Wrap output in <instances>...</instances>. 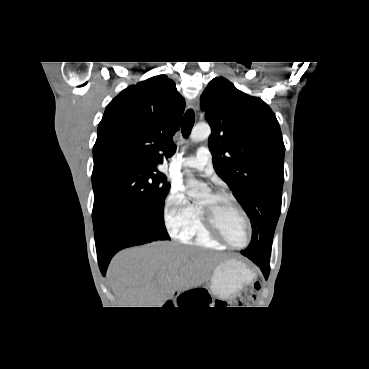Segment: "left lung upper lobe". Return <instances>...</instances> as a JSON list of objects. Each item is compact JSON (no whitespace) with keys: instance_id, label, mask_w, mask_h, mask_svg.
<instances>
[{"instance_id":"obj_1","label":"left lung upper lobe","mask_w":369,"mask_h":369,"mask_svg":"<svg viewBox=\"0 0 369 369\" xmlns=\"http://www.w3.org/2000/svg\"><path fill=\"white\" fill-rule=\"evenodd\" d=\"M201 107L212 130L214 169L251 221V243L241 253L269 262L284 181L285 146L276 116L260 98L223 77L209 82Z\"/></svg>"}]
</instances>
